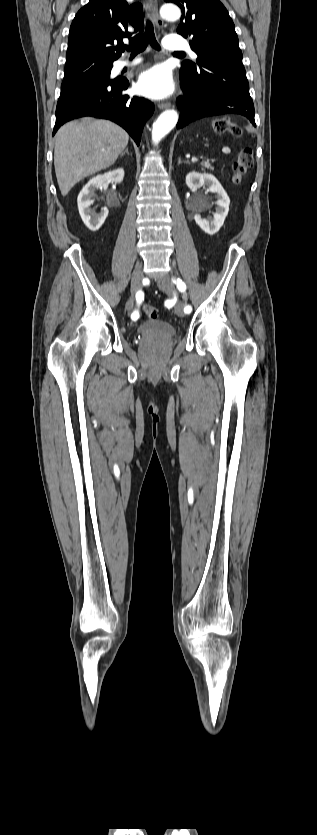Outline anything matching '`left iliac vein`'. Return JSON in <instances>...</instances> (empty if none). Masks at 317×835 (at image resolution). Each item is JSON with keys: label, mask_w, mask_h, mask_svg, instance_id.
Wrapping results in <instances>:
<instances>
[{"label": "left iliac vein", "mask_w": 317, "mask_h": 835, "mask_svg": "<svg viewBox=\"0 0 317 835\" xmlns=\"http://www.w3.org/2000/svg\"><path fill=\"white\" fill-rule=\"evenodd\" d=\"M157 285H158L159 289L162 290L163 292H165L167 294H171V295L173 294L174 286L171 282L170 276L164 275L163 277L159 278L157 280ZM175 313L179 317H183L185 315L183 305L180 301H177L176 304H175Z\"/></svg>", "instance_id": "obj_1"}]
</instances>
